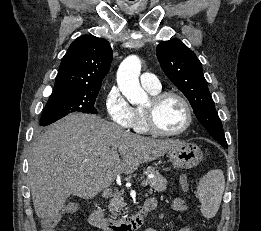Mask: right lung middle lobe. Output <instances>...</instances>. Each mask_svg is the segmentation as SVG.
Returning a JSON list of instances; mask_svg holds the SVG:
<instances>
[{
  "mask_svg": "<svg viewBox=\"0 0 261 231\" xmlns=\"http://www.w3.org/2000/svg\"><path fill=\"white\" fill-rule=\"evenodd\" d=\"M100 89L53 90L40 119L47 126L72 112L97 114L94 107Z\"/></svg>",
  "mask_w": 261,
  "mask_h": 231,
  "instance_id": "obj_1",
  "label": "right lung middle lobe"
}]
</instances>
